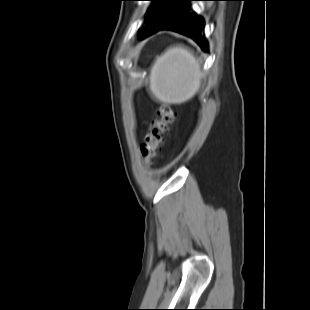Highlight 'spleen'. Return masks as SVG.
Masks as SVG:
<instances>
[{
    "mask_svg": "<svg viewBox=\"0 0 310 310\" xmlns=\"http://www.w3.org/2000/svg\"><path fill=\"white\" fill-rule=\"evenodd\" d=\"M201 79L199 60L186 47L174 46L154 62L149 89L163 103L181 104L197 93Z\"/></svg>",
    "mask_w": 310,
    "mask_h": 310,
    "instance_id": "3e777b00",
    "label": "spleen"
}]
</instances>
